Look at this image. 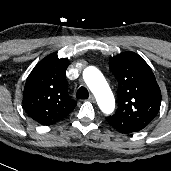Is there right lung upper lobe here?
I'll return each instance as SVG.
<instances>
[{"instance_id": "1", "label": "right lung upper lobe", "mask_w": 171, "mask_h": 171, "mask_svg": "<svg viewBox=\"0 0 171 171\" xmlns=\"http://www.w3.org/2000/svg\"><path fill=\"white\" fill-rule=\"evenodd\" d=\"M67 58L50 54L41 60L26 80L23 108L41 125H52L65 118L76 106L67 91Z\"/></svg>"}]
</instances>
